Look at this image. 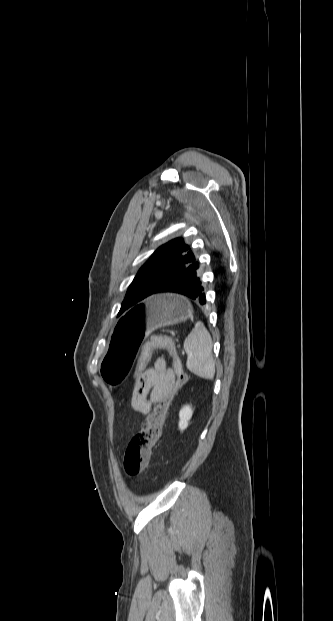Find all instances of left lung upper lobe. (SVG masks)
Listing matches in <instances>:
<instances>
[{"label": "left lung upper lobe", "mask_w": 333, "mask_h": 621, "mask_svg": "<svg viewBox=\"0 0 333 621\" xmlns=\"http://www.w3.org/2000/svg\"><path fill=\"white\" fill-rule=\"evenodd\" d=\"M198 267L199 262L182 238L162 245L138 271L118 315L134 309L142 300L155 294L165 283L184 271Z\"/></svg>", "instance_id": "1"}]
</instances>
